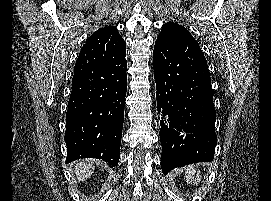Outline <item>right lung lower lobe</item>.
I'll return each mask as SVG.
<instances>
[{
	"label": "right lung lower lobe",
	"instance_id": "98d812e1",
	"mask_svg": "<svg viewBox=\"0 0 271 201\" xmlns=\"http://www.w3.org/2000/svg\"><path fill=\"white\" fill-rule=\"evenodd\" d=\"M126 44L121 37L92 34L75 64L66 113V163L98 158L115 167L127 91Z\"/></svg>",
	"mask_w": 271,
	"mask_h": 201
}]
</instances>
